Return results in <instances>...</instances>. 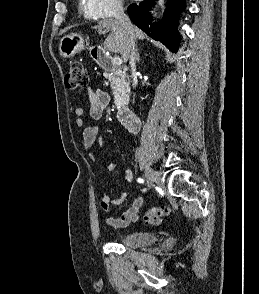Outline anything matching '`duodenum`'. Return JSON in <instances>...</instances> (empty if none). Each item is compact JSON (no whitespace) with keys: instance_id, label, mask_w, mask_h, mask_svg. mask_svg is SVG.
<instances>
[{"instance_id":"410a0bca","label":"duodenum","mask_w":259,"mask_h":294,"mask_svg":"<svg viewBox=\"0 0 259 294\" xmlns=\"http://www.w3.org/2000/svg\"><path fill=\"white\" fill-rule=\"evenodd\" d=\"M95 59L105 69H115L111 59L102 51L95 55ZM118 120L131 131H138L141 125L140 119L129 109L121 107L117 112Z\"/></svg>"}]
</instances>
